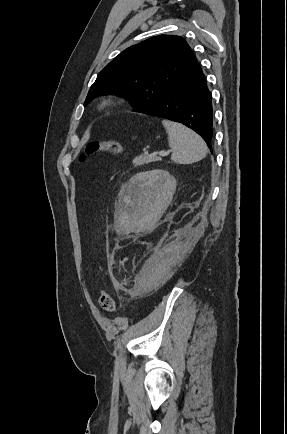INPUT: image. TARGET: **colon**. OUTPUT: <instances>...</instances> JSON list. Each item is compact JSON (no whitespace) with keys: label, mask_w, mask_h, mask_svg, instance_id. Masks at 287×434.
Returning <instances> with one entry per match:
<instances>
[{"label":"colon","mask_w":287,"mask_h":434,"mask_svg":"<svg viewBox=\"0 0 287 434\" xmlns=\"http://www.w3.org/2000/svg\"><path fill=\"white\" fill-rule=\"evenodd\" d=\"M123 151V146L119 141L106 140L91 142L86 146L85 154L87 156L97 153H110L120 154ZM98 304L100 308L107 312L112 313L116 308V302L113 294L107 290L103 291L99 297Z\"/></svg>","instance_id":"obj_1"}]
</instances>
